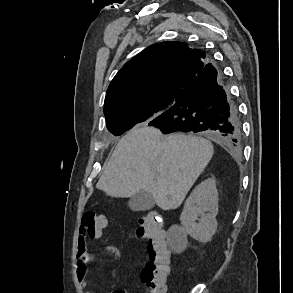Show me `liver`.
Here are the masks:
<instances>
[{"instance_id": "liver-1", "label": "liver", "mask_w": 293, "mask_h": 293, "mask_svg": "<svg viewBox=\"0 0 293 293\" xmlns=\"http://www.w3.org/2000/svg\"><path fill=\"white\" fill-rule=\"evenodd\" d=\"M213 156L210 141L185 134L164 136L137 125L118 142L97 188L108 196L150 193L163 210L177 209Z\"/></svg>"}]
</instances>
